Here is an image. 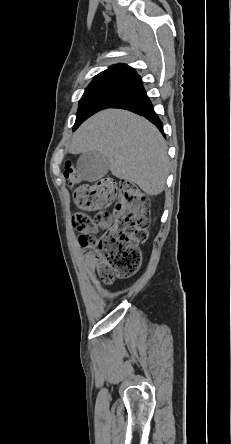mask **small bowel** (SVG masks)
I'll list each match as a JSON object with an SVG mask.
<instances>
[{
    "mask_svg": "<svg viewBox=\"0 0 231 444\" xmlns=\"http://www.w3.org/2000/svg\"><path fill=\"white\" fill-rule=\"evenodd\" d=\"M84 263L94 278H98L106 268L100 254L91 250L85 252Z\"/></svg>",
    "mask_w": 231,
    "mask_h": 444,
    "instance_id": "c3829d8e",
    "label": "small bowel"
}]
</instances>
